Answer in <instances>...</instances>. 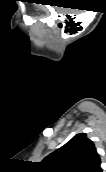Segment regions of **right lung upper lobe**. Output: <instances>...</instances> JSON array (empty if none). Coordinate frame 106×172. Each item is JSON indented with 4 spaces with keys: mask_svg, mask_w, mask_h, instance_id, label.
<instances>
[{
    "mask_svg": "<svg viewBox=\"0 0 106 172\" xmlns=\"http://www.w3.org/2000/svg\"><path fill=\"white\" fill-rule=\"evenodd\" d=\"M94 143L85 133L74 136L40 163L44 172H103Z\"/></svg>",
    "mask_w": 106,
    "mask_h": 172,
    "instance_id": "cb5924a9",
    "label": "right lung upper lobe"
}]
</instances>
